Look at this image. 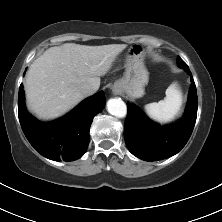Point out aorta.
<instances>
[{
    "label": "aorta",
    "mask_w": 222,
    "mask_h": 222,
    "mask_svg": "<svg viewBox=\"0 0 222 222\" xmlns=\"http://www.w3.org/2000/svg\"><path fill=\"white\" fill-rule=\"evenodd\" d=\"M108 112L118 118H123L127 114V106L120 98H112L107 102Z\"/></svg>",
    "instance_id": "1"
}]
</instances>
